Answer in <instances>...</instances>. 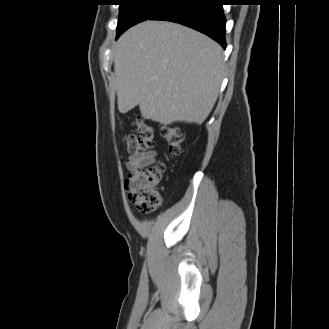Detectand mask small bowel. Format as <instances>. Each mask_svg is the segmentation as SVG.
Masks as SVG:
<instances>
[{
    "mask_svg": "<svg viewBox=\"0 0 329 329\" xmlns=\"http://www.w3.org/2000/svg\"><path fill=\"white\" fill-rule=\"evenodd\" d=\"M155 157L156 153L152 150L133 153L129 156L126 165L129 171H133L136 168L151 165L154 163Z\"/></svg>",
    "mask_w": 329,
    "mask_h": 329,
    "instance_id": "small-bowel-1",
    "label": "small bowel"
}]
</instances>
